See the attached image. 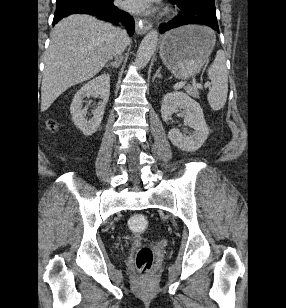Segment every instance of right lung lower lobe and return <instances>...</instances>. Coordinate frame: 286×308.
Wrapping results in <instances>:
<instances>
[{"mask_svg":"<svg viewBox=\"0 0 286 308\" xmlns=\"http://www.w3.org/2000/svg\"><path fill=\"white\" fill-rule=\"evenodd\" d=\"M69 14H90L109 22H122L129 35L135 23L132 16L113 5V0H57L53 24Z\"/></svg>","mask_w":286,"mask_h":308,"instance_id":"98d812e1","label":"right lung lower lobe"}]
</instances>
